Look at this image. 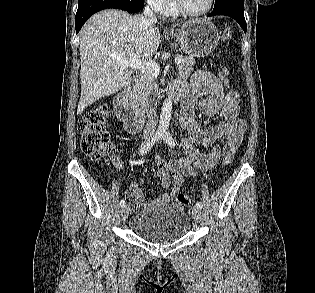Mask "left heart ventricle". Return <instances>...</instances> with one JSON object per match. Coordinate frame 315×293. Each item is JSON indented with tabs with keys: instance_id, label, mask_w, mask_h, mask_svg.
Masks as SVG:
<instances>
[{
	"instance_id": "obj_1",
	"label": "left heart ventricle",
	"mask_w": 315,
	"mask_h": 293,
	"mask_svg": "<svg viewBox=\"0 0 315 293\" xmlns=\"http://www.w3.org/2000/svg\"><path fill=\"white\" fill-rule=\"evenodd\" d=\"M183 4L188 10L198 12L207 6L208 0H183Z\"/></svg>"
}]
</instances>
